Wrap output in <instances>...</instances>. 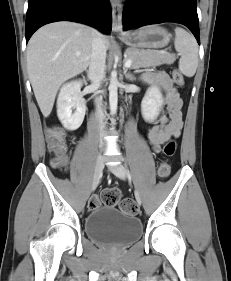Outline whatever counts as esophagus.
<instances>
[{
    "label": "esophagus",
    "instance_id": "1",
    "mask_svg": "<svg viewBox=\"0 0 231 281\" xmlns=\"http://www.w3.org/2000/svg\"><path fill=\"white\" fill-rule=\"evenodd\" d=\"M110 4L113 18L112 29L115 32H122V5L119 0H110Z\"/></svg>",
    "mask_w": 231,
    "mask_h": 281
}]
</instances>
